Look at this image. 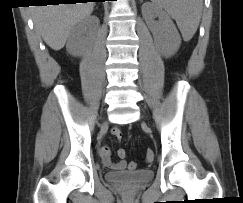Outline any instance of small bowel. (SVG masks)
Instances as JSON below:
<instances>
[{
	"mask_svg": "<svg viewBox=\"0 0 243 203\" xmlns=\"http://www.w3.org/2000/svg\"><path fill=\"white\" fill-rule=\"evenodd\" d=\"M112 134L118 138L121 137V131L118 128H113L112 129ZM121 150V149H120ZM118 150V156L120 157V160L118 162H113L110 158L111 155V150L109 145L104 144L100 147V157L102 159V163L105 167H108L110 169H114V170H123L126 167V162L124 160L125 156H122L119 154ZM130 168V167H129Z\"/></svg>",
	"mask_w": 243,
	"mask_h": 203,
	"instance_id": "obj_1",
	"label": "small bowel"
}]
</instances>
